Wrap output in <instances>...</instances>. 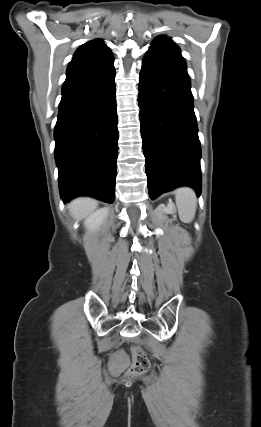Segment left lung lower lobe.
I'll return each instance as SVG.
<instances>
[{
	"label": "left lung lower lobe",
	"mask_w": 261,
	"mask_h": 427,
	"mask_svg": "<svg viewBox=\"0 0 261 427\" xmlns=\"http://www.w3.org/2000/svg\"><path fill=\"white\" fill-rule=\"evenodd\" d=\"M141 135L152 200L179 186L201 193V148L183 58L150 48L139 76Z\"/></svg>",
	"instance_id": "obj_1"
}]
</instances>
